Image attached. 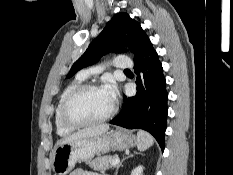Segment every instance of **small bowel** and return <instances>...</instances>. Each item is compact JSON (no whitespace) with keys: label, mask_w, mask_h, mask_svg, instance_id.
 I'll return each mask as SVG.
<instances>
[{"label":"small bowel","mask_w":233,"mask_h":175,"mask_svg":"<svg viewBox=\"0 0 233 175\" xmlns=\"http://www.w3.org/2000/svg\"><path fill=\"white\" fill-rule=\"evenodd\" d=\"M70 175H107V174H101L98 172L84 171L82 169H76Z\"/></svg>","instance_id":"obj_1"}]
</instances>
